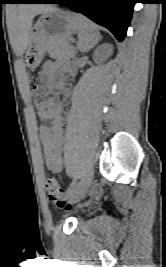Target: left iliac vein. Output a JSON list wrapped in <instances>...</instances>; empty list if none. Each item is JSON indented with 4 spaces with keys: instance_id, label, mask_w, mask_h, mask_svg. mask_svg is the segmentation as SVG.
<instances>
[{
    "instance_id": "4c4485c4",
    "label": "left iliac vein",
    "mask_w": 166,
    "mask_h": 267,
    "mask_svg": "<svg viewBox=\"0 0 166 267\" xmlns=\"http://www.w3.org/2000/svg\"><path fill=\"white\" fill-rule=\"evenodd\" d=\"M93 170L89 169L84 177L82 178V180L78 183V185L76 186V188L74 189V191L72 192V194L69 196L70 202L71 203H77L79 202L81 199H83V197L85 196V194L87 193L91 183H92V179H93Z\"/></svg>"
}]
</instances>
